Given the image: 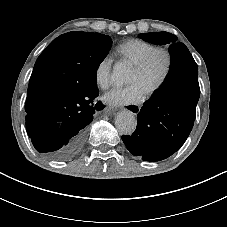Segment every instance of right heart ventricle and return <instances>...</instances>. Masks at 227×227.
<instances>
[{
  "mask_svg": "<svg viewBox=\"0 0 227 227\" xmlns=\"http://www.w3.org/2000/svg\"><path fill=\"white\" fill-rule=\"evenodd\" d=\"M155 46L142 39H128L116 48L117 54L122 61H127L131 66H136Z\"/></svg>",
  "mask_w": 227,
  "mask_h": 227,
  "instance_id": "right-heart-ventricle-1",
  "label": "right heart ventricle"
}]
</instances>
